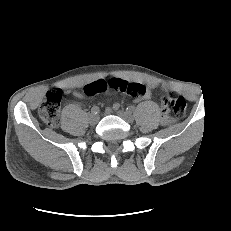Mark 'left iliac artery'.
Here are the masks:
<instances>
[{
    "mask_svg": "<svg viewBox=\"0 0 231 231\" xmlns=\"http://www.w3.org/2000/svg\"><path fill=\"white\" fill-rule=\"evenodd\" d=\"M126 110H127V112L132 113V112L135 111V107L134 106H129V107H127Z\"/></svg>",
    "mask_w": 231,
    "mask_h": 231,
    "instance_id": "left-iliac-artery-1",
    "label": "left iliac artery"
}]
</instances>
